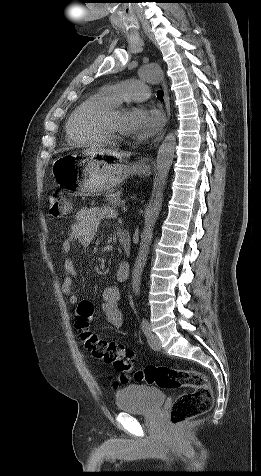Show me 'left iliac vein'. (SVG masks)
I'll list each match as a JSON object with an SVG mask.
<instances>
[{
    "label": "left iliac vein",
    "mask_w": 261,
    "mask_h": 476,
    "mask_svg": "<svg viewBox=\"0 0 261 476\" xmlns=\"http://www.w3.org/2000/svg\"><path fill=\"white\" fill-rule=\"evenodd\" d=\"M147 339H148V343H149L150 347L153 350H155V351L161 350V348H162L161 341H160L159 337L156 334L151 332V330L147 334Z\"/></svg>",
    "instance_id": "obj_1"
}]
</instances>
